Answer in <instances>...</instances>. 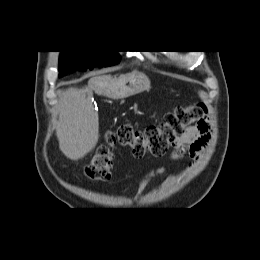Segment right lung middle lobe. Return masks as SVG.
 I'll list each match as a JSON object with an SVG mask.
<instances>
[{"instance_id":"dd1d6c3e","label":"right lung middle lobe","mask_w":260,"mask_h":260,"mask_svg":"<svg viewBox=\"0 0 260 260\" xmlns=\"http://www.w3.org/2000/svg\"><path fill=\"white\" fill-rule=\"evenodd\" d=\"M59 59V77L73 71H85L91 63L98 62L100 66L108 67L120 62V57L114 51H61Z\"/></svg>"}]
</instances>
